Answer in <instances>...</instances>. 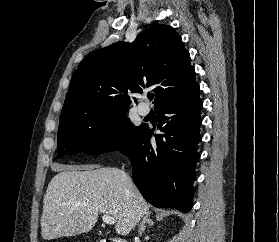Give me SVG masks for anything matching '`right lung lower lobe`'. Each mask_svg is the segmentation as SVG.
<instances>
[{
    "label": "right lung lower lobe",
    "mask_w": 279,
    "mask_h": 242,
    "mask_svg": "<svg viewBox=\"0 0 279 242\" xmlns=\"http://www.w3.org/2000/svg\"><path fill=\"white\" fill-rule=\"evenodd\" d=\"M197 84L187 93L155 108L159 118L156 144L149 138L153 133L144 126L122 153L132 163V178L143 197L157 208L173 207L189 212L192 208L195 166L200 158L197 151L201 141Z\"/></svg>",
    "instance_id": "98d812e1"
}]
</instances>
